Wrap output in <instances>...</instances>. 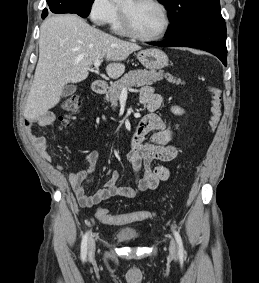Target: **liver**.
I'll return each instance as SVG.
<instances>
[{
  "label": "liver",
  "mask_w": 259,
  "mask_h": 283,
  "mask_svg": "<svg viewBox=\"0 0 259 283\" xmlns=\"http://www.w3.org/2000/svg\"><path fill=\"white\" fill-rule=\"evenodd\" d=\"M139 49L136 43L96 29L77 15L49 16L40 27L39 60L24 117L36 119L55 107L64 87L85 80L97 59L113 61L106 72L111 78L120 77L125 71L121 62Z\"/></svg>",
  "instance_id": "1"
}]
</instances>
